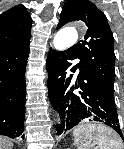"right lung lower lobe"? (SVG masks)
Instances as JSON below:
<instances>
[{"instance_id": "1", "label": "right lung lower lobe", "mask_w": 124, "mask_h": 149, "mask_svg": "<svg viewBox=\"0 0 124 149\" xmlns=\"http://www.w3.org/2000/svg\"><path fill=\"white\" fill-rule=\"evenodd\" d=\"M29 43L0 50V135L24 138L26 82Z\"/></svg>"}]
</instances>
